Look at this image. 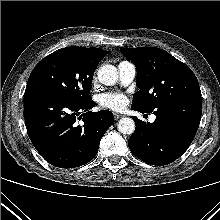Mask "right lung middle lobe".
I'll return each mask as SVG.
<instances>
[{"label":"right lung middle lobe","instance_id":"dd1d6c3e","mask_svg":"<svg viewBox=\"0 0 220 220\" xmlns=\"http://www.w3.org/2000/svg\"><path fill=\"white\" fill-rule=\"evenodd\" d=\"M97 65L85 59L74 47L59 49L35 66L25 92H48L82 102L90 98V85Z\"/></svg>","mask_w":220,"mask_h":220}]
</instances>
